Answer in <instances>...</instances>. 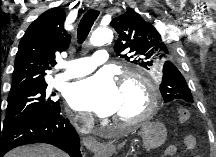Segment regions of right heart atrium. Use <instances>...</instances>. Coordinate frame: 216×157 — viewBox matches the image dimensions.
<instances>
[{"mask_svg":"<svg viewBox=\"0 0 216 157\" xmlns=\"http://www.w3.org/2000/svg\"><path fill=\"white\" fill-rule=\"evenodd\" d=\"M67 115H68L69 117L72 118V115H71L70 112H68V111H67ZM80 119H81V121L84 122V123H88V122L90 121V119H89L88 116H81Z\"/></svg>","mask_w":216,"mask_h":157,"instance_id":"1","label":"right heart atrium"}]
</instances>
